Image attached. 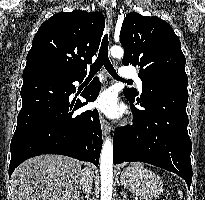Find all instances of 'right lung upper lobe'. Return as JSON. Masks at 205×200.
Instances as JSON below:
<instances>
[{
	"label": "right lung upper lobe",
	"instance_id": "1",
	"mask_svg": "<svg viewBox=\"0 0 205 200\" xmlns=\"http://www.w3.org/2000/svg\"><path fill=\"white\" fill-rule=\"evenodd\" d=\"M105 18L99 12L57 13L38 29L23 73L58 72L85 76L99 48Z\"/></svg>",
	"mask_w": 205,
	"mask_h": 200
}]
</instances>
